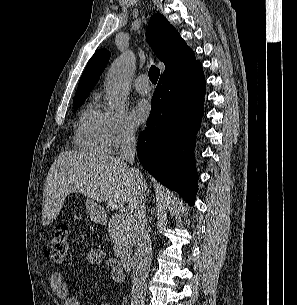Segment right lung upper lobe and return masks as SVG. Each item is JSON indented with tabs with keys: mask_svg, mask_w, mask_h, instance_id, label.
Masks as SVG:
<instances>
[{
	"mask_svg": "<svg viewBox=\"0 0 297 305\" xmlns=\"http://www.w3.org/2000/svg\"><path fill=\"white\" fill-rule=\"evenodd\" d=\"M146 38L155 54L165 64L161 77H172L187 71L199 61L195 60L194 52L187 46L177 30L161 14H154L146 29ZM110 53L101 49L89 60L78 84L73 101L89 95L103 70Z\"/></svg>",
	"mask_w": 297,
	"mask_h": 305,
	"instance_id": "1",
	"label": "right lung upper lobe"
}]
</instances>
